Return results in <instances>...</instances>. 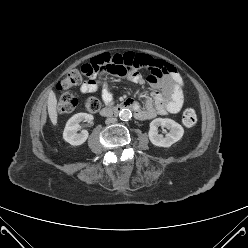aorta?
Segmentation results:
<instances>
[{
	"instance_id": "762f6f07",
	"label": "aorta",
	"mask_w": 248,
	"mask_h": 248,
	"mask_svg": "<svg viewBox=\"0 0 248 248\" xmlns=\"http://www.w3.org/2000/svg\"><path fill=\"white\" fill-rule=\"evenodd\" d=\"M119 117L123 121H128L132 117V113L129 109H122L119 113Z\"/></svg>"
}]
</instances>
